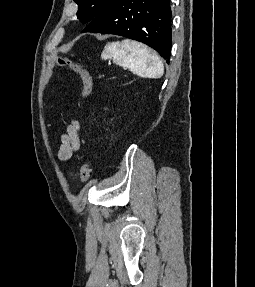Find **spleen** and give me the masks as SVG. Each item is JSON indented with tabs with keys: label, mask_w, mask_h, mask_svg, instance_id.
Wrapping results in <instances>:
<instances>
[{
	"label": "spleen",
	"mask_w": 255,
	"mask_h": 287,
	"mask_svg": "<svg viewBox=\"0 0 255 287\" xmlns=\"http://www.w3.org/2000/svg\"><path fill=\"white\" fill-rule=\"evenodd\" d=\"M103 60L114 58L120 66L131 64L132 72H136L141 78H161L164 74V66L154 50H150L143 44L124 40V42H112L106 44Z\"/></svg>",
	"instance_id": "obj_1"
}]
</instances>
